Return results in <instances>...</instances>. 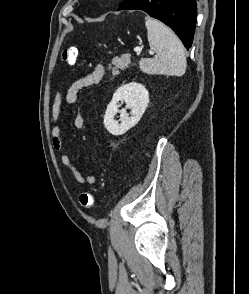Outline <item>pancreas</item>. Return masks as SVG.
Masks as SVG:
<instances>
[{
    "instance_id": "obj_1",
    "label": "pancreas",
    "mask_w": 249,
    "mask_h": 294,
    "mask_svg": "<svg viewBox=\"0 0 249 294\" xmlns=\"http://www.w3.org/2000/svg\"><path fill=\"white\" fill-rule=\"evenodd\" d=\"M130 62V55H122L121 57H115L112 60V65H114V67L112 68V66L109 65L108 69H112V74L115 76L120 73L119 70H125L126 68H128Z\"/></svg>"
}]
</instances>
